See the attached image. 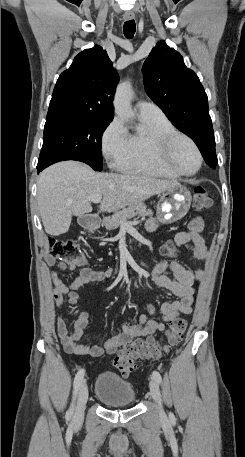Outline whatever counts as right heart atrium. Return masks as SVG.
I'll list each match as a JSON object with an SVG mask.
<instances>
[{"instance_id":"1","label":"right heart atrium","mask_w":245,"mask_h":457,"mask_svg":"<svg viewBox=\"0 0 245 457\" xmlns=\"http://www.w3.org/2000/svg\"><path fill=\"white\" fill-rule=\"evenodd\" d=\"M129 142V133L122 120L115 116L102 134V147L108 158L120 155Z\"/></svg>"}]
</instances>
